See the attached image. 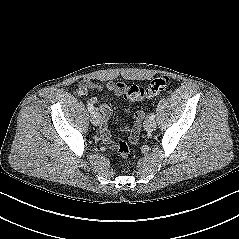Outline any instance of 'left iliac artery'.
Wrapping results in <instances>:
<instances>
[{
    "label": "left iliac artery",
    "mask_w": 239,
    "mask_h": 239,
    "mask_svg": "<svg viewBox=\"0 0 239 239\" xmlns=\"http://www.w3.org/2000/svg\"><path fill=\"white\" fill-rule=\"evenodd\" d=\"M150 119H154L155 118V114L154 113H151L150 116H149Z\"/></svg>",
    "instance_id": "obj_1"
}]
</instances>
